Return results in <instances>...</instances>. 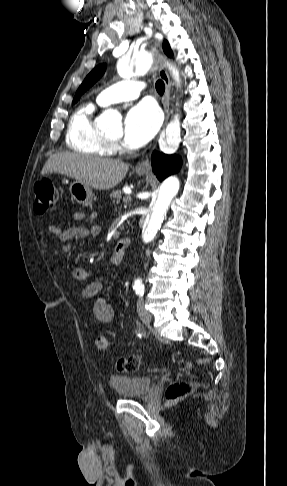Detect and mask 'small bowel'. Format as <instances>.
Masks as SVG:
<instances>
[{
	"label": "small bowel",
	"instance_id": "small-bowel-1",
	"mask_svg": "<svg viewBox=\"0 0 287 486\" xmlns=\"http://www.w3.org/2000/svg\"><path fill=\"white\" fill-rule=\"evenodd\" d=\"M72 217L76 221H85L87 225L65 228L47 222L48 231L57 237V244L65 253L71 251L74 240L88 239L95 237L100 233V226L94 223L97 218L96 212H93L88 216L82 212H74ZM121 261L122 258H118L114 254L112 255L111 263L117 265L120 264ZM92 275L93 272L86 268L77 267L72 270V277L77 281H86L90 279ZM100 289V282L91 281L83 286L81 295L85 299L93 300V312L95 318L101 323H109L114 317V310L107 300L99 296Z\"/></svg>",
	"mask_w": 287,
	"mask_h": 486
}]
</instances>
